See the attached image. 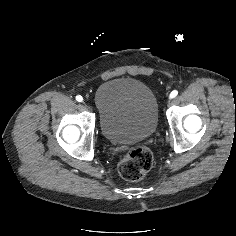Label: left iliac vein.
<instances>
[{
	"label": "left iliac vein",
	"instance_id": "1",
	"mask_svg": "<svg viewBox=\"0 0 236 236\" xmlns=\"http://www.w3.org/2000/svg\"><path fill=\"white\" fill-rule=\"evenodd\" d=\"M173 100H174V97L173 96H170V97H168V99L167 100H165V102H164V108H165V110L167 111L168 109V107H170V105H171V102H173Z\"/></svg>",
	"mask_w": 236,
	"mask_h": 236
}]
</instances>
